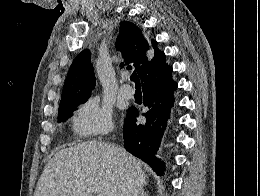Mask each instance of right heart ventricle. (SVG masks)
Returning <instances> with one entry per match:
<instances>
[{
  "mask_svg": "<svg viewBox=\"0 0 260 196\" xmlns=\"http://www.w3.org/2000/svg\"><path fill=\"white\" fill-rule=\"evenodd\" d=\"M65 192H85V190H65Z\"/></svg>",
  "mask_w": 260,
  "mask_h": 196,
  "instance_id": "obj_1",
  "label": "right heart ventricle"
}]
</instances>
